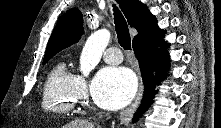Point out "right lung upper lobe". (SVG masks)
Instances as JSON below:
<instances>
[{
	"instance_id": "1",
	"label": "right lung upper lobe",
	"mask_w": 221,
	"mask_h": 128,
	"mask_svg": "<svg viewBox=\"0 0 221 128\" xmlns=\"http://www.w3.org/2000/svg\"><path fill=\"white\" fill-rule=\"evenodd\" d=\"M117 2L130 26L138 31L133 39V44L152 43L164 37L165 31L158 27L155 16L139 0H117ZM82 35V14L78 9L72 8L62 16L55 26L45 56H54L62 49L78 42Z\"/></svg>"
}]
</instances>
